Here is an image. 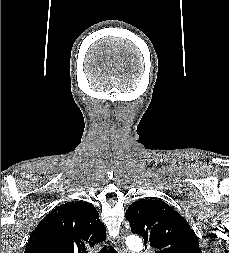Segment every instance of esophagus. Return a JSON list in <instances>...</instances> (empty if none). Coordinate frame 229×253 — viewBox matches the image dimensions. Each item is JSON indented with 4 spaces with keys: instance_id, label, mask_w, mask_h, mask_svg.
Here are the masks:
<instances>
[{
    "instance_id": "1",
    "label": "esophagus",
    "mask_w": 229,
    "mask_h": 253,
    "mask_svg": "<svg viewBox=\"0 0 229 253\" xmlns=\"http://www.w3.org/2000/svg\"><path fill=\"white\" fill-rule=\"evenodd\" d=\"M114 244H115V248H116L118 253H127V249L124 246L122 236L118 237L116 239V241L114 242Z\"/></svg>"
}]
</instances>
